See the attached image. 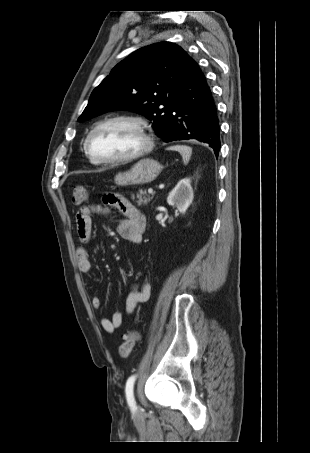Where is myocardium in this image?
Here are the masks:
<instances>
[{"label": "myocardium", "instance_id": "myocardium-1", "mask_svg": "<svg viewBox=\"0 0 310 453\" xmlns=\"http://www.w3.org/2000/svg\"><path fill=\"white\" fill-rule=\"evenodd\" d=\"M114 122H127L134 125L141 134L143 145L134 153L120 158H104L97 156L91 148V139L101 127ZM84 147L89 158L99 164H123L136 160L150 152L153 147V138L149 126L142 119L129 115H117L99 121L88 133Z\"/></svg>", "mask_w": 310, "mask_h": 453}]
</instances>
